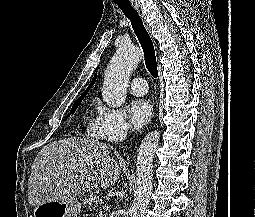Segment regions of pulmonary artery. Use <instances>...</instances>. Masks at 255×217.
I'll list each match as a JSON object with an SVG mask.
<instances>
[{
	"label": "pulmonary artery",
	"mask_w": 255,
	"mask_h": 217,
	"mask_svg": "<svg viewBox=\"0 0 255 217\" xmlns=\"http://www.w3.org/2000/svg\"><path fill=\"white\" fill-rule=\"evenodd\" d=\"M129 90L133 95H145L148 91V85L144 78L136 77L130 82Z\"/></svg>",
	"instance_id": "obj_1"
}]
</instances>
